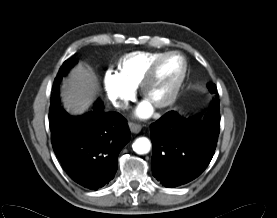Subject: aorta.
<instances>
[{"instance_id": "762f6f07", "label": "aorta", "mask_w": 277, "mask_h": 218, "mask_svg": "<svg viewBox=\"0 0 277 218\" xmlns=\"http://www.w3.org/2000/svg\"><path fill=\"white\" fill-rule=\"evenodd\" d=\"M132 148L137 154H147L151 149V142L146 137H139L132 144Z\"/></svg>"}]
</instances>
